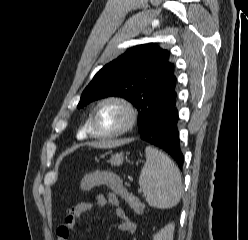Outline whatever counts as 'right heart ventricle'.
I'll use <instances>...</instances> for the list:
<instances>
[{
  "label": "right heart ventricle",
  "instance_id": "e07e8e85",
  "mask_svg": "<svg viewBox=\"0 0 248 240\" xmlns=\"http://www.w3.org/2000/svg\"><path fill=\"white\" fill-rule=\"evenodd\" d=\"M89 120H90V115L87 116L84 124L82 125V127L80 128V130L78 131V138L83 139L88 137L89 134Z\"/></svg>",
  "mask_w": 248,
  "mask_h": 240
}]
</instances>
